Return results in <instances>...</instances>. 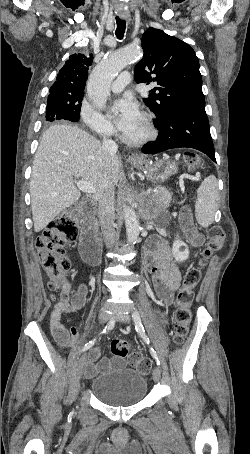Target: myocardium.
I'll list each match as a JSON object with an SVG mask.
<instances>
[{
  "label": "myocardium",
  "instance_id": "obj_1",
  "mask_svg": "<svg viewBox=\"0 0 250 454\" xmlns=\"http://www.w3.org/2000/svg\"><path fill=\"white\" fill-rule=\"evenodd\" d=\"M141 117L145 125L146 133L142 137L136 139L128 138L124 134H122L121 139L124 143L131 146H142L156 138L157 130L151 115L146 112H143L141 114Z\"/></svg>",
  "mask_w": 250,
  "mask_h": 454
}]
</instances>
